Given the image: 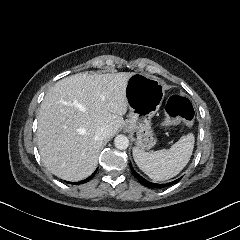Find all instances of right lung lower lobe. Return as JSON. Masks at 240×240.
<instances>
[{
    "label": "right lung lower lobe",
    "instance_id": "98d812e1",
    "mask_svg": "<svg viewBox=\"0 0 240 240\" xmlns=\"http://www.w3.org/2000/svg\"><path fill=\"white\" fill-rule=\"evenodd\" d=\"M95 172L90 176L88 177L87 179L83 180V181H80V182H77V184H82V183H86L88 182L93 176H94ZM69 183V182H68ZM76 184V183H75Z\"/></svg>",
    "mask_w": 240,
    "mask_h": 240
}]
</instances>
